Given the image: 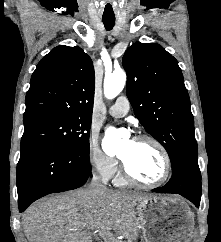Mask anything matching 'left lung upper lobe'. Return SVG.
I'll return each mask as SVG.
<instances>
[{
  "instance_id": "obj_1",
  "label": "left lung upper lobe",
  "mask_w": 221,
  "mask_h": 242,
  "mask_svg": "<svg viewBox=\"0 0 221 242\" xmlns=\"http://www.w3.org/2000/svg\"><path fill=\"white\" fill-rule=\"evenodd\" d=\"M126 92L142 126L167 150L172 172L198 159L190 98L177 60L156 43H134L123 56Z\"/></svg>"
}]
</instances>
